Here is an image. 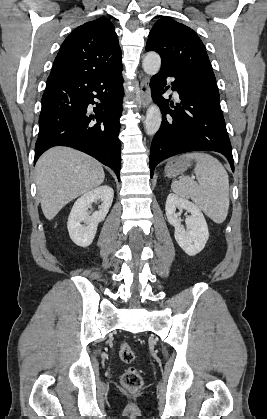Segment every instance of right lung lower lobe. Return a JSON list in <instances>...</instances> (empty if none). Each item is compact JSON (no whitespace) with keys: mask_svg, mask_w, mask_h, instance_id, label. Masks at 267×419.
I'll use <instances>...</instances> for the list:
<instances>
[{"mask_svg":"<svg viewBox=\"0 0 267 419\" xmlns=\"http://www.w3.org/2000/svg\"><path fill=\"white\" fill-rule=\"evenodd\" d=\"M123 96L122 65L108 71L49 76L42 97L35 161L50 147L69 146L109 166L120 180L118 135Z\"/></svg>","mask_w":267,"mask_h":419,"instance_id":"right-lung-lower-lobe-1","label":"right lung lower lobe"}]
</instances>
